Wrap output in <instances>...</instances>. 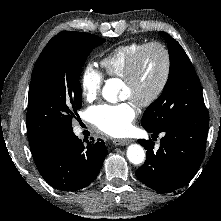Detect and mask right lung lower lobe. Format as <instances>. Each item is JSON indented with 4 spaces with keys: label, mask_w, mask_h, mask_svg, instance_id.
<instances>
[{
    "label": "right lung lower lobe",
    "mask_w": 221,
    "mask_h": 221,
    "mask_svg": "<svg viewBox=\"0 0 221 221\" xmlns=\"http://www.w3.org/2000/svg\"><path fill=\"white\" fill-rule=\"evenodd\" d=\"M106 155L107 147L102 140L84 145L69 131L53 138L34 160L40 174L52 187L77 191L96 179Z\"/></svg>",
    "instance_id": "right-lung-lower-lobe-1"
}]
</instances>
